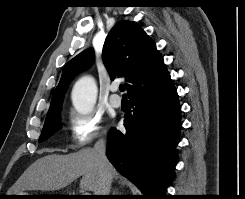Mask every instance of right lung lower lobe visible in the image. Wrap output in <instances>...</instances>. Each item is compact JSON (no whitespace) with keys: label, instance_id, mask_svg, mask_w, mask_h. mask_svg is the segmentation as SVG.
Segmentation results:
<instances>
[{"label":"right lung lower lobe","instance_id":"1","mask_svg":"<svg viewBox=\"0 0 245 199\" xmlns=\"http://www.w3.org/2000/svg\"><path fill=\"white\" fill-rule=\"evenodd\" d=\"M122 133H108L107 157L146 199H162L177 161L181 109L171 78L161 86L129 97Z\"/></svg>","mask_w":245,"mask_h":199}]
</instances>
